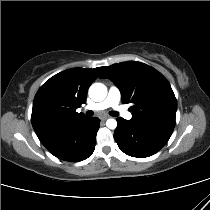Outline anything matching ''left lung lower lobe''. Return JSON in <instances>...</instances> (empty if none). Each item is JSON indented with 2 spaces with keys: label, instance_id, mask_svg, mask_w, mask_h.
Wrapping results in <instances>:
<instances>
[{
  "label": "left lung lower lobe",
  "instance_id": "obj_1",
  "mask_svg": "<svg viewBox=\"0 0 210 210\" xmlns=\"http://www.w3.org/2000/svg\"><path fill=\"white\" fill-rule=\"evenodd\" d=\"M118 126L114 138L119 148L132 157H149L158 152L169 140L172 130L135 125L121 117L117 119Z\"/></svg>",
  "mask_w": 210,
  "mask_h": 210
}]
</instances>
